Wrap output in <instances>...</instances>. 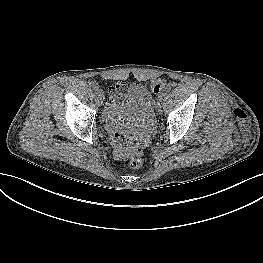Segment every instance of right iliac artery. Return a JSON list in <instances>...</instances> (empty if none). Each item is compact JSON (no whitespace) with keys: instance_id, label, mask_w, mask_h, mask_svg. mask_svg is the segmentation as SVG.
Wrapping results in <instances>:
<instances>
[{"instance_id":"82829eb1","label":"right iliac artery","mask_w":263,"mask_h":263,"mask_svg":"<svg viewBox=\"0 0 263 263\" xmlns=\"http://www.w3.org/2000/svg\"><path fill=\"white\" fill-rule=\"evenodd\" d=\"M93 90H94L96 93H99V92H100V89H99L97 86H94V87H93Z\"/></svg>"}]
</instances>
